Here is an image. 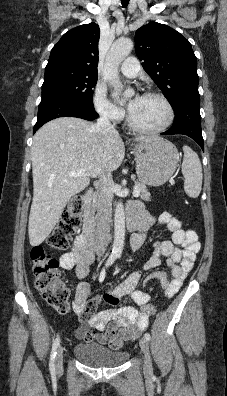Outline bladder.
I'll return each instance as SVG.
<instances>
[{"instance_id": "31cf9c89", "label": "bladder", "mask_w": 227, "mask_h": 396, "mask_svg": "<svg viewBox=\"0 0 227 396\" xmlns=\"http://www.w3.org/2000/svg\"><path fill=\"white\" fill-rule=\"evenodd\" d=\"M73 352L78 360L95 368L118 367L129 359L126 351L113 350L96 343H79Z\"/></svg>"}]
</instances>
